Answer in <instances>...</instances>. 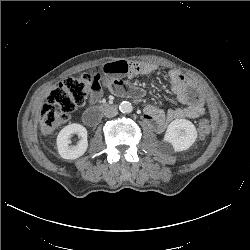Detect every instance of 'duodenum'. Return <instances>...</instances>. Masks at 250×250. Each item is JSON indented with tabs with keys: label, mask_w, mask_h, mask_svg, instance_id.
Masks as SVG:
<instances>
[{
	"label": "duodenum",
	"mask_w": 250,
	"mask_h": 250,
	"mask_svg": "<svg viewBox=\"0 0 250 250\" xmlns=\"http://www.w3.org/2000/svg\"><path fill=\"white\" fill-rule=\"evenodd\" d=\"M110 107H111V105H109V104L101 103V104H98L96 106H93V107L87 109L83 113L84 122L88 125H91V126L97 124L99 122V120L101 119L104 111Z\"/></svg>",
	"instance_id": "1"
}]
</instances>
